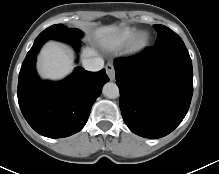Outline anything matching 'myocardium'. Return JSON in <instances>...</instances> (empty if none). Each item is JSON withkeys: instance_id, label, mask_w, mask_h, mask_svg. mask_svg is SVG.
<instances>
[{"instance_id": "f54148a6", "label": "myocardium", "mask_w": 219, "mask_h": 174, "mask_svg": "<svg viewBox=\"0 0 219 174\" xmlns=\"http://www.w3.org/2000/svg\"><path fill=\"white\" fill-rule=\"evenodd\" d=\"M149 42V34L146 32L138 34L136 37L133 38L131 45H130V52L138 53L142 51Z\"/></svg>"}]
</instances>
